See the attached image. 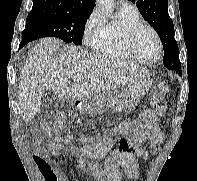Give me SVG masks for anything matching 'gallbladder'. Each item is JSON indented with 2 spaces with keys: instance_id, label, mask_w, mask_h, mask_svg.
<instances>
[{
  "instance_id": "1",
  "label": "gallbladder",
  "mask_w": 197,
  "mask_h": 181,
  "mask_svg": "<svg viewBox=\"0 0 197 181\" xmlns=\"http://www.w3.org/2000/svg\"><path fill=\"white\" fill-rule=\"evenodd\" d=\"M57 98L58 96L56 94H54L51 90H47L43 96V103H42L43 111L46 112L49 111V109L52 108L53 100L55 101Z\"/></svg>"
}]
</instances>
